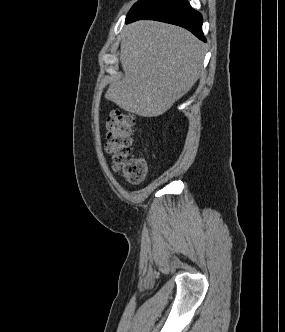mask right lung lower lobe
<instances>
[{
    "mask_svg": "<svg viewBox=\"0 0 285 332\" xmlns=\"http://www.w3.org/2000/svg\"><path fill=\"white\" fill-rule=\"evenodd\" d=\"M140 19L157 20L181 26L206 41L202 32V15L193 10L187 0H149L126 18V23Z\"/></svg>",
    "mask_w": 285,
    "mask_h": 332,
    "instance_id": "obj_1",
    "label": "right lung lower lobe"
}]
</instances>
